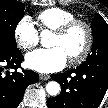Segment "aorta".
Listing matches in <instances>:
<instances>
[{
	"label": "aorta",
	"instance_id": "aorta-1",
	"mask_svg": "<svg viewBox=\"0 0 108 108\" xmlns=\"http://www.w3.org/2000/svg\"><path fill=\"white\" fill-rule=\"evenodd\" d=\"M50 37V32L48 30H44L41 32V43L44 47L48 46V39ZM46 91L51 96H56L60 92V85L56 81L48 82L46 85Z\"/></svg>",
	"mask_w": 108,
	"mask_h": 108
}]
</instances>
